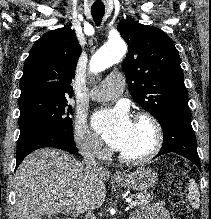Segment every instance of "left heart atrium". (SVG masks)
<instances>
[{"instance_id":"1","label":"left heart atrium","mask_w":211,"mask_h":219,"mask_svg":"<svg viewBox=\"0 0 211 219\" xmlns=\"http://www.w3.org/2000/svg\"><path fill=\"white\" fill-rule=\"evenodd\" d=\"M94 129L114 150L122 151L134 130V123L124 107L102 110L92 118Z\"/></svg>"}]
</instances>
